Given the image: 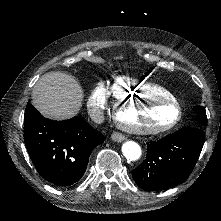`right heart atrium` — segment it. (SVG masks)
Instances as JSON below:
<instances>
[{
	"instance_id": "right-heart-atrium-1",
	"label": "right heart atrium",
	"mask_w": 221,
	"mask_h": 221,
	"mask_svg": "<svg viewBox=\"0 0 221 221\" xmlns=\"http://www.w3.org/2000/svg\"><path fill=\"white\" fill-rule=\"evenodd\" d=\"M115 84L111 80L102 82L95 92L94 103L98 107H104L109 103L115 93Z\"/></svg>"
}]
</instances>
